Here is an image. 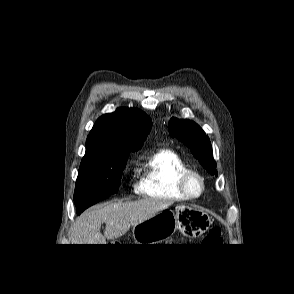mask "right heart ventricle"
Returning a JSON list of instances; mask_svg holds the SVG:
<instances>
[{
  "instance_id": "obj_1",
  "label": "right heart ventricle",
  "mask_w": 294,
  "mask_h": 294,
  "mask_svg": "<svg viewBox=\"0 0 294 294\" xmlns=\"http://www.w3.org/2000/svg\"><path fill=\"white\" fill-rule=\"evenodd\" d=\"M139 195L159 199H184L177 185L180 171L187 168L182 157L172 149L161 148L142 158L139 164Z\"/></svg>"
}]
</instances>
